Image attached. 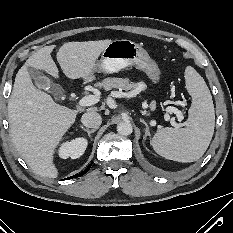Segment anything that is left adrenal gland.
Returning <instances> with one entry per match:
<instances>
[{
    "label": "left adrenal gland",
    "mask_w": 233,
    "mask_h": 233,
    "mask_svg": "<svg viewBox=\"0 0 233 233\" xmlns=\"http://www.w3.org/2000/svg\"><path fill=\"white\" fill-rule=\"evenodd\" d=\"M140 121H141V122L145 125V127H146L145 136H144V139H146L147 136H149V137L151 136V135H150V130H149V127H148L147 123H146L143 119H141Z\"/></svg>",
    "instance_id": "a2214340"
}]
</instances>
